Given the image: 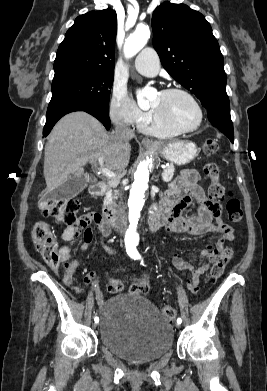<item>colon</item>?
Masks as SVG:
<instances>
[{
	"instance_id": "colon-1",
	"label": "colon",
	"mask_w": 267,
	"mask_h": 391,
	"mask_svg": "<svg viewBox=\"0 0 267 391\" xmlns=\"http://www.w3.org/2000/svg\"><path fill=\"white\" fill-rule=\"evenodd\" d=\"M218 150V144L213 139H208L203 143V151L206 155H213ZM205 173L211 180L208 189L209 198L214 201H221L225 197V187L219 181V168L215 163H208L205 166ZM79 202L75 199L54 200L47 199L43 203L42 213L46 217L53 218L56 222L66 225H77L81 222H89L90 215L77 216L79 211ZM228 217L232 222H239L243 217L241 203L233 193H229L226 204ZM32 241L36 248L41 252L44 261L51 268H58L62 263L59 253L58 243L48 223L44 221L37 222L32 230ZM232 256V251L224 249L216 262L213 264L208 275L209 282H215L223 273L227 263ZM123 288L121 281L117 279L110 280L108 291L111 294L119 293ZM149 285L145 279L135 282L131 288V294L144 295L148 292ZM162 313L167 321H173L176 317V311L171 306H164Z\"/></svg>"
}]
</instances>
